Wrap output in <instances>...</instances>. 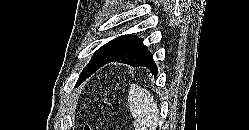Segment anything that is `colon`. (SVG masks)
<instances>
[{
	"mask_svg": "<svg viewBox=\"0 0 249 130\" xmlns=\"http://www.w3.org/2000/svg\"><path fill=\"white\" fill-rule=\"evenodd\" d=\"M84 130H93V127L90 123H86L84 126Z\"/></svg>",
	"mask_w": 249,
	"mask_h": 130,
	"instance_id": "colon-1",
	"label": "colon"
}]
</instances>
